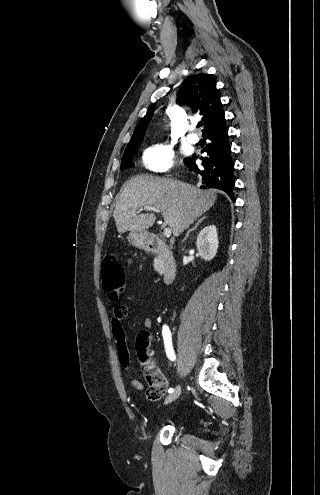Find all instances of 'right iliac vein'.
Instances as JSON below:
<instances>
[{
	"label": "right iliac vein",
	"mask_w": 320,
	"mask_h": 495,
	"mask_svg": "<svg viewBox=\"0 0 320 495\" xmlns=\"http://www.w3.org/2000/svg\"><path fill=\"white\" fill-rule=\"evenodd\" d=\"M180 394H181V387L177 386L175 390L165 398L164 403L165 404L172 403L180 396Z\"/></svg>",
	"instance_id": "obj_1"
}]
</instances>
